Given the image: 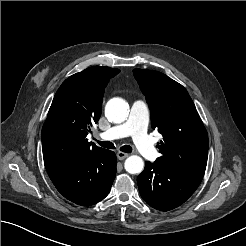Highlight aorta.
I'll return each instance as SVG.
<instances>
[{"instance_id":"aorta-1","label":"aorta","mask_w":246,"mask_h":246,"mask_svg":"<svg viewBox=\"0 0 246 246\" xmlns=\"http://www.w3.org/2000/svg\"><path fill=\"white\" fill-rule=\"evenodd\" d=\"M128 113V104L121 98H113L106 104L105 114L110 121L122 123ZM124 167L130 174H139L143 171L144 161L140 156L131 155L125 160Z\"/></svg>"}]
</instances>
